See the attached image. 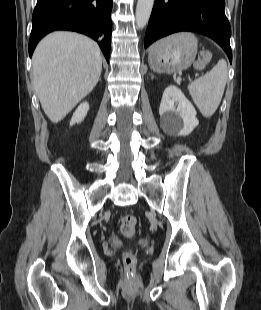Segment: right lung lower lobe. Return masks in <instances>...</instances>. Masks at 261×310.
<instances>
[{"label":"right lung lower lobe","instance_id":"1","mask_svg":"<svg viewBox=\"0 0 261 310\" xmlns=\"http://www.w3.org/2000/svg\"><path fill=\"white\" fill-rule=\"evenodd\" d=\"M113 0H37L32 16L29 55L47 33L71 30L98 42L107 61L111 46Z\"/></svg>","mask_w":261,"mask_h":310}]
</instances>
